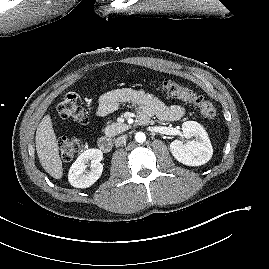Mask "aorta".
I'll list each match as a JSON object with an SVG mask.
<instances>
[{"mask_svg": "<svg viewBox=\"0 0 269 269\" xmlns=\"http://www.w3.org/2000/svg\"><path fill=\"white\" fill-rule=\"evenodd\" d=\"M135 140L138 143H143L146 140V135L143 132H137L135 135Z\"/></svg>", "mask_w": 269, "mask_h": 269, "instance_id": "1", "label": "aorta"}]
</instances>
